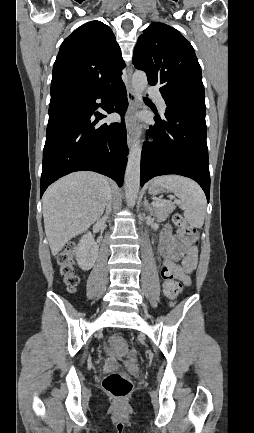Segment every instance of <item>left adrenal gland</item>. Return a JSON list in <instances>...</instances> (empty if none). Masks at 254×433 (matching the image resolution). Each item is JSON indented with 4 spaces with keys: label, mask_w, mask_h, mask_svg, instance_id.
<instances>
[{
    "label": "left adrenal gland",
    "mask_w": 254,
    "mask_h": 433,
    "mask_svg": "<svg viewBox=\"0 0 254 433\" xmlns=\"http://www.w3.org/2000/svg\"><path fill=\"white\" fill-rule=\"evenodd\" d=\"M143 205H144L145 209L148 210L152 214V212H153L152 211V206H151V204H149V202H148V200H147L146 197H144Z\"/></svg>",
    "instance_id": "obj_1"
}]
</instances>
